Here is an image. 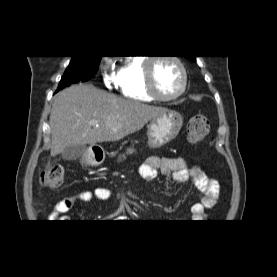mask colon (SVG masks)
<instances>
[{
  "instance_id": "colon-1",
  "label": "colon",
  "mask_w": 277,
  "mask_h": 277,
  "mask_svg": "<svg viewBox=\"0 0 277 277\" xmlns=\"http://www.w3.org/2000/svg\"><path fill=\"white\" fill-rule=\"evenodd\" d=\"M209 121L206 115L198 113L193 115L187 123V138L193 144L200 143L209 133ZM64 169L55 165L42 172L39 182L45 188H58L64 181Z\"/></svg>"
}]
</instances>
